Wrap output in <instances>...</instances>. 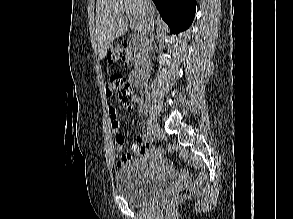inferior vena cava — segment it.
Segmentation results:
<instances>
[{
    "mask_svg": "<svg viewBox=\"0 0 293 219\" xmlns=\"http://www.w3.org/2000/svg\"><path fill=\"white\" fill-rule=\"evenodd\" d=\"M147 2H148L147 0H144V4L147 5ZM153 29H154V18H153V15L148 13L146 21H145L144 31L140 36L141 49H142V52H141L142 66H141L139 72L141 73L142 76H145V77L148 76V71H149V68L151 65L149 53H150V50L152 47Z\"/></svg>",
    "mask_w": 293,
    "mask_h": 219,
    "instance_id": "obj_1",
    "label": "inferior vena cava"
}]
</instances>
